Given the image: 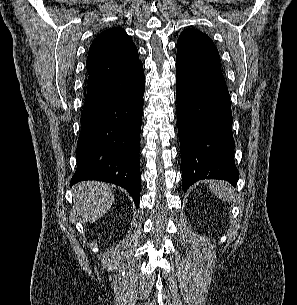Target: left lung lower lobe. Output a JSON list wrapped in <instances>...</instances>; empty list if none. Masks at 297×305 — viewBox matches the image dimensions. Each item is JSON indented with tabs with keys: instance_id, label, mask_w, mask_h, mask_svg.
<instances>
[{
	"instance_id": "0a47b994",
	"label": "left lung lower lobe",
	"mask_w": 297,
	"mask_h": 305,
	"mask_svg": "<svg viewBox=\"0 0 297 305\" xmlns=\"http://www.w3.org/2000/svg\"><path fill=\"white\" fill-rule=\"evenodd\" d=\"M176 84L183 190L201 179H223L235 186L239 173L222 71L186 72L176 63Z\"/></svg>"
}]
</instances>
